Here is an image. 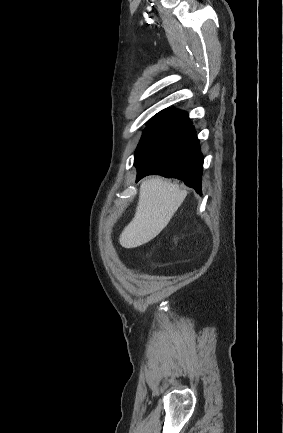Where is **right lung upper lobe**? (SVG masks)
Here are the masks:
<instances>
[{"label": "right lung upper lobe", "instance_id": "cb5924a9", "mask_svg": "<svg viewBox=\"0 0 283 433\" xmlns=\"http://www.w3.org/2000/svg\"><path fill=\"white\" fill-rule=\"evenodd\" d=\"M167 111H169V109L163 110V111H161L159 114L162 115V114H164V113L167 112Z\"/></svg>", "mask_w": 283, "mask_h": 433}]
</instances>
